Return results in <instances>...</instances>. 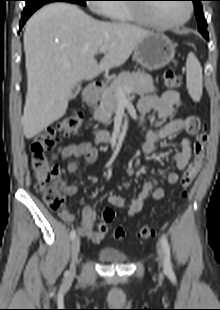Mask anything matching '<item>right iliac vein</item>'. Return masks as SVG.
Segmentation results:
<instances>
[{
	"label": "right iliac vein",
	"instance_id": "obj_1",
	"mask_svg": "<svg viewBox=\"0 0 220 310\" xmlns=\"http://www.w3.org/2000/svg\"><path fill=\"white\" fill-rule=\"evenodd\" d=\"M80 244H81L80 237L76 236L72 241V262H71L70 269L67 273V276L69 278H72L75 275V266L78 261Z\"/></svg>",
	"mask_w": 220,
	"mask_h": 310
}]
</instances>
